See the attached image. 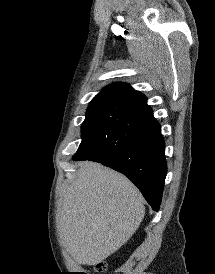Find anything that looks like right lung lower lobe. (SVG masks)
I'll return each mask as SVG.
<instances>
[{
  "mask_svg": "<svg viewBox=\"0 0 215 274\" xmlns=\"http://www.w3.org/2000/svg\"><path fill=\"white\" fill-rule=\"evenodd\" d=\"M164 151L160 125L155 121L112 158L83 160L101 162L126 175L140 189L151 207L158 211L167 174Z\"/></svg>",
  "mask_w": 215,
  "mask_h": 274,
  "instance_id": "right-lung-lower-lobe-1",
  "label": "right lung lower lobe"
}]
</instances>
